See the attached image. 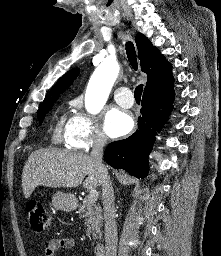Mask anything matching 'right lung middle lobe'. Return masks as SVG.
Instances as JSON below:
<instances>
[{"mask_svg":"<svg viewBox=\"0 0 221 256\" xmlns=\"http://www.w3.org/2000/svg\"><path fill=\"white\" fill-rule=\"evenodd\" d=\"M58 99V96H51L43 101L38 109V120L42 124L45 114H47L53 106V103Z\"/></svg>","mask_w":221,"mask_h":256,"instance_id":"obj_1","label":"right lung middle lobe"}]
</instances>
